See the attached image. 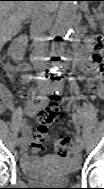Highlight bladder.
Returning a JSON list of instances; mask_svg holds the SVG:
<instances>
[{
	"label": "bladder",
	"mask_w": 104,
	"mask_h": 189,
	"mask_svg": "<svg viewBox=\"0 0 104 189\" xmlns=\"http://www.w3.org/2000/svg\"><path fill=\"white\" fill-rule=\"evenodd\" d=\"M78 168L76 162L60 156H48L33 168L23 169L22 172L33 184L61 186L69 183L71 175Z\"/></svg>",
	"instance_id": "obj_1"
}]
</instances>
